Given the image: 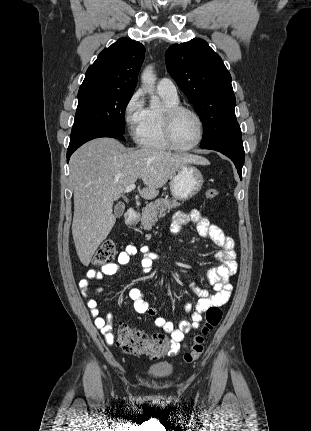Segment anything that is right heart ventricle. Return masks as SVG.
Masks as SVG:
<instances>
[{
	"mask_svg": "<svg viewBox=\"0 0 311 431\" xmlns=\"http://www.w3.org/2000/svg\"><path fill=\"white\" fill-rule=\"evenodd\" d=\"M160 95L163 99V107L146 109L144 120L138 132V141L146 149H170L163 133V113L168 107L178 105L180 101L178 96L173 97L162 93Z\"/></svg>",
	"mask_w": 311,
	"mask_h": 431,
	"instance_id": "e07e8e85",
	"label": "right heart ventricle"
}]
</instances>
